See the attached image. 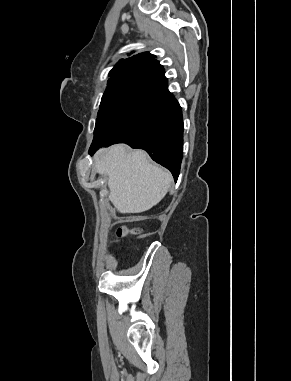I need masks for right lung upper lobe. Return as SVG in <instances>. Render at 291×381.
Segmentation results:
<instances>
[{
  "label": "right lung upper lobe",
  "mask_w": 291,
  "mask_h": 381,
  "mask_svg": "<svg viewBox=\"0 0 291 381\" xmlns=\"http://www.w3.org/2000/svg\"><path fill=\"white\" fill-rule=\"evenodd\" d=\"M154 58L155 56L149 52H143L121 59L109 73L111 77L108 80L107 88H111L130 78H142L163 69L162 65Z\"/></svg>",
  "instance_id": "obj_1"
}]
</instances>
